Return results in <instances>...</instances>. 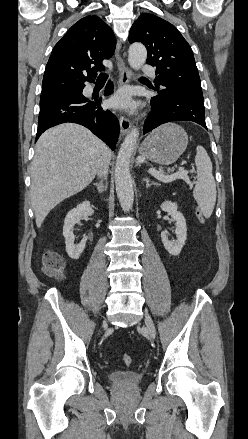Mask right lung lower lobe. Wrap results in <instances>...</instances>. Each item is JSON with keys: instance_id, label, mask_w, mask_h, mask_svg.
<instances>
[{"instance_id": "obj_1", "label": "right lung lower lobe", "mask_w": 248, "mask_h": 439, "mask_svg": "<svg viewBox=\"0 0 248 439\" xmlns=\"http://www.w3.org/2000/svg\"><path fill=\"white\" fill-rule=\"evenodd\" d=\"M83 88L41 105L36 140L53 126L73 122L87 127L112 150L115 149L120 131L115 114L100 106L101 98L90 100L84 97ZM112 90V83L108 82L104 95L111 94Z\"/></svg>"}]
</instances>
